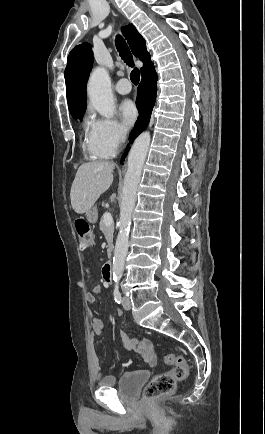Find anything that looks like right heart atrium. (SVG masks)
Masks as SVG:
<instances>
[{
    "mask_svg": "<svg viewBox=\"0 0 265 434\" xmlns=\"http://www.w3.org/2000/svg\"><path fill=\"white\" fill-rule=\"evenodd\" d=\"M91 113H96V108H91ZM92 145L89 146L90 154H103L106 159H114L116 154H124L129 134L125 132L120 118H109V114L91 117Z\"/></svg>",
    "mask_w": 265,
    "mask_h": 434,
    "instance_id": "right-heart-atrium-1",
    "label": "right heart atrium"
}]
</instances>
